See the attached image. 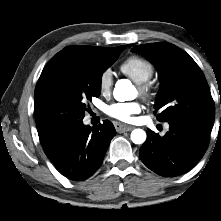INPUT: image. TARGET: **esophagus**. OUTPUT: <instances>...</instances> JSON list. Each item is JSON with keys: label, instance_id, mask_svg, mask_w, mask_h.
Instances as JSON below:
<instances>
[{"label": "esophagus", "instance_id": "34e87169", "mask_svg": "<svg viewBox=\"0 0 221 221\" xmlns=\"http://www.w3.org/2000/svg\"><path fill=\"white\" fill-rule=\"evenodd\" d=\"M116 131L119 133H123V132H127V131H131L134 129V126H129V125H124L121 123L116 122L114 124Z\"/></svg>", "mask_w": 221, "mask_h": 221}]
</instances>
